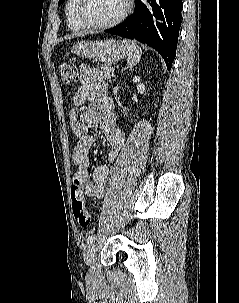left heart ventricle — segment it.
Wrapping results in <instances>:
<instances>
[{"label":"left heart ventricle","instance_id":"left-heart-ventricle-1","mask_svg":"<svg viewBox=\"0 0 239 303\" xmlns=\"http://www.w3.org/2000/svg\"><path fill=\"white\" fill-rule=\"evenodd\" d=\"M126 0H84V18L95 24L106 23L117 18L125 9Z\"/></svg>","mask_w":239,"mask_h":303}]
</instances>
